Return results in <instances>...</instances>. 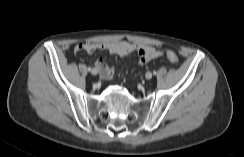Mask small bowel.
Masks as SVG:
<instances>
[{
    "label": "small bowel",
    "instance_id": "small-bowel-1",
    "mask_svg": "<svg viewBox=\"0 0 244 157\" xmlns=\"http://www.w3.org/2000/svg\"><path fill=\"white\" fill-rule=\"evenodd\" d=\"M96 50L107 51L111 54L118 56H127L131 53H145L148 57L147 63L151 59H156L162 55L161 51L152 46L141 45L137 43H129L127 41H114V42H85L76 45L75 52H87L93 53ZM142 63V62H140ZM143 64V63H142ZM94 65L99 70V73L103 79H110L114 74V69L109 67L102 58H98L94 61Z\"/></svg>",
    "mask_w": 244,
    "mask_h": 157
}]
</instances>
